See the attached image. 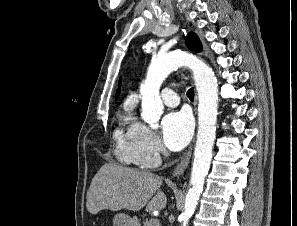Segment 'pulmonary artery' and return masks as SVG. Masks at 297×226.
<instances>
[{"mask_svg":"<svg viewBox=\"0 0 297 226\" xmlns=\"http://www.w3.org/2000/svg\"><path fill=\"white\" fill-rule=\"evenodd\" d=\"M161 98L163 103L169 107H175L180 102L178 94L172 88H164L161 92Z\"/></svg>","mask_w":297,"mask_h":226,"instance_id":"obj_1","label":"pulmonary artery"}]
</instances>
